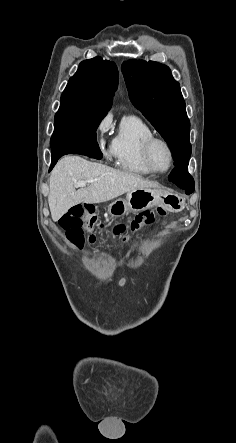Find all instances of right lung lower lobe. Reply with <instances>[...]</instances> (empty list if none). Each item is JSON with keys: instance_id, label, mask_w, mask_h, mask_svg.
I'll return each mask as SVG.
<instances>
[{"instance_id": "98d812e1", "label": "right lung lower lobe", "mask_w": 236, "mask_h": 443, "mask_svg": "<svg viewBox=\"0 0 236 443\" xmlns=\"http://www.w3.org/2000/svg\"><path fill=\"white\" fill-rule=\"evenodd\" d=\"M66 154H81V155H86V156H89L91 158H96V159H101L103 156L100 149H99L98 144L97 145L73 146V147H68V148L59 149V150H52V152H51L52 163H51L50 170L56 164L58 159Z\"/></svg>"}]
</instances>
